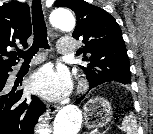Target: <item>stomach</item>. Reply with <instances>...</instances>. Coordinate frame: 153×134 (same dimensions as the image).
Wrapping results in <instances>:
<instances>
[{
    "instance_id": "obj_1",
    "label": "stomach",
    "mask_w": 153,
    "mask_h": 134,
    "mask_svg": "<svg viewBox=\"0 0 153 134\" xmlns=\"http://www.w3.org/2000/svg\"><path fill=\"white\" fill-rule=\"evenodd\" d=\"M84 123L88 129L102 128L112 119L111 104L103 98H91L84 105Z\"/></svg>"
}]
</instances>
